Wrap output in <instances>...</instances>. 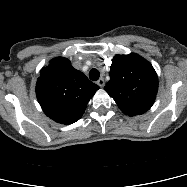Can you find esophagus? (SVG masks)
Segmentation results:
<instances>
[{
	"mask_svg": "<svg viewBox=\"0 0 187 187\" xmlns=\"http://www.w3.org/2000/svg\"><path fill=\"white\" fill-rule=\"evenodd\" d=\"M97 84L100 86V87H104L105 86V81L103 78H100L98 81H97Z\"/></svg>",
	"mask_w": 187,
	"mask_h": 187,
	"instance_id": "34e87169",
	"label": "esophagus"
}]
</instances>
